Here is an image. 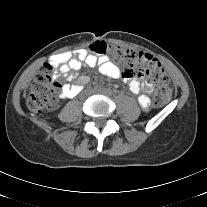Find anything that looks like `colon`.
I'll return each mask as SVG.
<instances>
[{
  "label": "colon",
  "mask_w": 207,
  "mask_h": 207,
  "mask_svg": "<svg viewBox=\"0 0 207 207\" xmlns=\"http://www.w3.org/2000/svg\"><path fill=\"white\" fill-rule=\"evenodd\" d=\"M92 49L95 53L104 54L118 63L125 78L138 76L145 80L148 87L158 86L154 96L155 106H163L169 101L170 79L158 60L149 54L104 42L97 43ZM55 68L53 64L47 62L30 86L27 106L33 113L49 111L56 102L59 82L54 79Z\"/></svg>",
  "instance_id": "obj_1"
}]
</instances>
